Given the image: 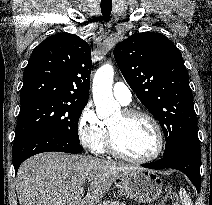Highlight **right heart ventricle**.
I'll return each mask as SVG.
<instances>
[{"label":"right heart ventricle","instance_id":"1","mask_svg":"<svg viewBox=\"0 0 212 205\" xmlns=\"http://www.w3.org/2000/svg\"><path fill=\"white\" fill-rule=\"evenodd\" d=\"M106 149V143H105V140L104 142L102 143V145L100 146V148L98 149L99 152H104Z\"/></svg>","mask_w":212,"mask_h":205}]
</instances>
